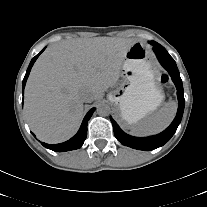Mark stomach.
<instances>
[{"instance_id": "obj_1", "label": "stomach", "mask_w": 207, "mask_h": 207, "mask_svg": "<svg viewBox=\"0 0 207 207\" xmlns=\"http://www.w3.org/2000/svg\"><path fill=\"white\" fill-rule=\"evenodd\" d=\"M116 106L119 123L130 128L158 109L164 93L148 48L135 42L127 51L121 71V80L108 94Z\"/></svg>"}]
</instances>
